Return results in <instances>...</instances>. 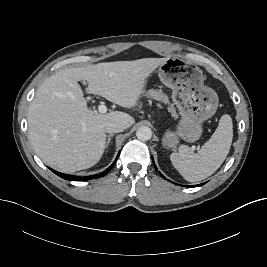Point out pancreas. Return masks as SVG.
Listing matches in <instances>:
<instances>
[{
  "instance_id": "obj_1",
  "label": "pancreas",
  "mask_w": 267,
  "mask_h": 267,
  "mask_svg": "<svg viewBox=\"0 0 267 267\" xmlns=\"http://www.w3.org/2000/svg\"><path fill=\"white\" fill-rule=\"evenodd\" d=\"M144 95L149 98H153L159 102L170 104L168 96L159 89H150ZM169 111L172 113L173 117L177 118V113L175 108L173 107V104H170Z\"/></svg>"
}]
</instances>
